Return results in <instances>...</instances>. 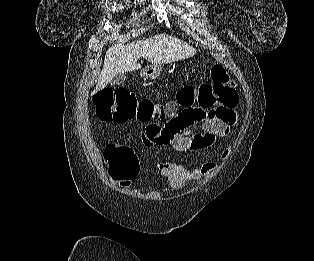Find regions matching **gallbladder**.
Segmentation results:
<instances>
[{"label":"gallbladder","instance_id":"bac80fb5","mask_svg":"<svg viewBox=\"0 0 314 261\" xmlns=\"http://www.w3.org/2000/svg\"><path fill=\"white\" fill-rule=\"evenodd\" d=\"M125 79H126L125 74L119 73V74L114 76V78L112 79V81L110 83H111V85H120L125 81Z\"/></svg>","mask_w":314,"mask_h":261}]
</instances>
